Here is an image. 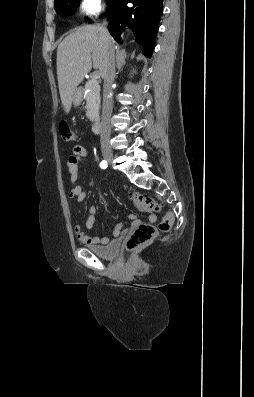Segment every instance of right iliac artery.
Wrapping results in <instances>:
<instances>
[{"mask_svg": "<svg viewBox=\"0 0 254 397\" xmlns=\"http://www.w3.org/2000/svg\"><path fill=\"white\" fill-rule=\"evenodd\" d=\"M100 167H101L102 169H106V168H107V162L103 160V161L100 163Z\"/></svg>", "mask_w": 254, "mask_h": 397, "instance_id": "1", "label": "right iliac artery"}]
</instances>
